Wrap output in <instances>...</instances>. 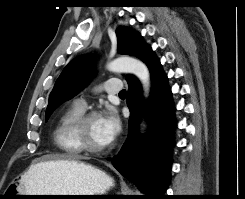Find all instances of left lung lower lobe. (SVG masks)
I'll use <instances>...</instances> for the list:
<instances>
[{"mask_svg": "<svg viewBox=\"0 0 245 199\" xmlns=\"http://www.w3.org/2000/svg\"><path fill=\"white\" fill-rule=\"evenodd\" d=\"M152 78V92L148 110L152 120L150 144L141 150L138 123L141 114L142 94L139 81L132 77L128 81L127 105L130 109L129 135L113 166L129 181L134 183L148 197L162 196L170 177V151L173 144V103L167 77L160 61L151 51L145 61Z\"/></svg>", "mask_w": 245, "mask_h": 199, "instance_id": "left-lung-lower-lobe-1", "label": "left lung lower lobe"}]
</instances>
